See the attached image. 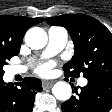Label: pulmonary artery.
I'll list each match as a JSON object with an SVG mask.
<instances>
[{
  "label": "pulmonary artery",
  "instance_id": "e3ab8cb5",
  "mask_svg": "<svg viewBox=\"0 0 112 112\" xmlns=\"http://www.w3.org/2000/svg\"><path fill=\"white\" fill-rule=\"evenodd\" d=\"M68 39V33L66 29L62 27H51L48 30V45L44 52L45 56H51L60 52L66 45ZM12 74H20L26 71L23 66H14L10 69ZM87 84L86 78H81L79 80L80 86H85Z\"/></svg>",
  "mask_w": 112,
  "mask_h": 112
}]
</instances>
